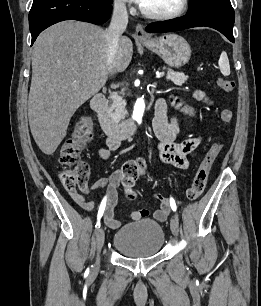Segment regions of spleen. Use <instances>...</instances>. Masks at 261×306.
<instances>
[{
  "mask_svg": "<svg viewBox=\"0 0 261 306\" xmlns=\"http://www.w3.org/2000/svg\"><path fill=\"white\" fill-rule=\"evenodd\" d=\"M221 73L224 76L230 75V65L226 52H222L218 61Z\"/></svg>",
  "mask_w": 261,
  "mask_h": 306,
  "instance_id": "1",
  "label": "spleen"
}]
</instances>
